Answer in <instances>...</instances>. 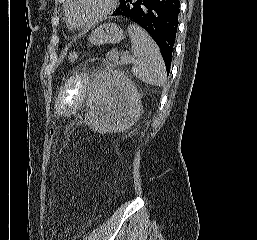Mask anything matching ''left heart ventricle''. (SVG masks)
<instances>
[{
    "label": "left heart ventricle",
    "mask_w": 257,
    "mask_h": 240,
    "mask_svg": "<svg viewBox=\"0 0 257 240\" xmlns=\"http://www.w3.org/2000/svg\"><path fill=\"white\" fill-rule=\"evenodd\" d=\"M108 0H73L69 14L73 22L85 23L98 15L107 5Z\"/></svg>",
    "instance_id": "left-heart-ventricle-1"
}]
</instances>
